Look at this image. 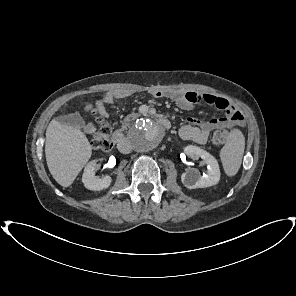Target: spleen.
<instances>
[{"mask_svg": "<svg viewBox=\"0 0 296 296\" xmlns=\"http://www.w3.org/2000/svg\"><path fill=\"white\" fill-rule=\"evenodd\" d=\"M244 149V135L239 129L232 130L226 144L220 151L223 168L228 176H234L238 172L242 163Z\"/></svg>", "mask_w": 296, "mask_h": 296, "instance_id": "obj_1", "label": "spleen"}]
</instances>
